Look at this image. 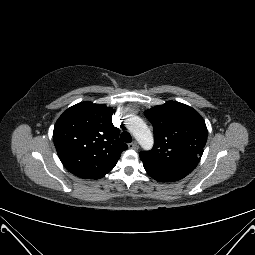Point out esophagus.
<instances>
[{"mask_svg": "<svg viewBox=\"0 0 255 255\" xmlns=\"http://www.w3.org/2000/svg\"><path fill=\"white\" fill-rule=\"evenodd\" d=\"M128 147L136 150V149H138V143L136 141H133L128 144Z\"/></svg>", "mask_w": 255, "mask_h": 255, "instance_id": "34e87169", "label": "esophagus"}]
</instances>
